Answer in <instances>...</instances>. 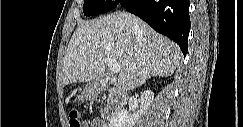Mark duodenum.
I'll return each mask as SVG.
<instances>
[{
  "label": "duodenum",
  "instance_id": "1",
  "mask_svg": "<svg viewBox=\"0 0 243 127\" xmlns=\"http://www.w3.org/2000/svg\"><path fill=\"white\" fill-rule=\"evenodd\" d=\"M111 84V78L108 75L100 77L97 81L95 87L98 89H106ZM127 102V95L125 92L117 85H112L111 93L109 97V112L108 117L114 116L122 106Z\"/></svg>",
  "mask_w": 243,
  "mask_h": 127
}]
</instances>
